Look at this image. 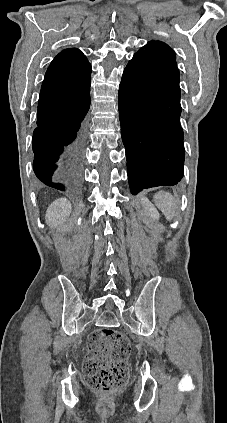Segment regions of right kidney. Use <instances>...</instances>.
<instances>
[{
  "label": "right kidney",
  "instance_id": "1",
  "mask_svg": "<svg viewBox=\"0 0 227 423\" xmlns=\"http://www.w3.org/2000/svg\"><path fill=\"white\" fill-rule=\"evenodd\" d=\"M72 211L71 204L67 198H58L55 202L50 204L48 210L45 213V221L51 227H56L59 223H64L68 215Z\"/></svg>",
  "mask_w": 227,
  "mask_h": 423
}]
</instances>
